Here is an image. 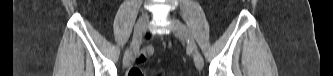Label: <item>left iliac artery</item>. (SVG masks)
<instances>
[{
  "label": "left iliac artery",
  "instance_id": "left-iliac-artery-1",
  "mask_svg": "<svg viewBox=\"0 0 333 76\" xmlns=\"http://www.w3.org/2000/svg\"><path fill=\"white\" fill-rule=\"evenodd\" d=\"M188 44L192 45L193 47L196 48V44L194 42V39H193L192 35H190V34H189V37H188Z\"/></svg>",
  "mask_w": 333,
  "mask_h": 76
}]
</instances>
